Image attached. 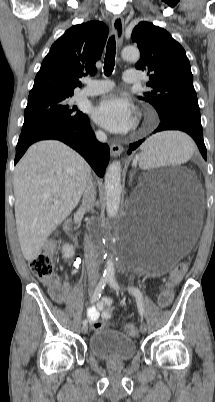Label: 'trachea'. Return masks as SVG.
I'll return each instance as SVG.
<instances>
[{
    "instance_id": "1",
    "label": "trachea",
    "mask_w": 215,
    "mask_h": 402,
    "mask_svg": "<svg viewBox=\"0 0 215 402\" xmlns=\"http://www.w3.org/2000/svg\"><path fill=\"white\" fill-rule=\"evenodd\" d=\"M115 54H116V41L115 36H111L107 43L106 56L104 61V74L109 76L112 74L115 66Z\"/></svg>"
}]
</instances>
